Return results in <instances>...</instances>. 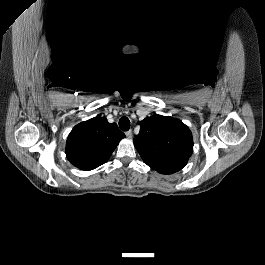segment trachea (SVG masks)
Listing matches in <instances>:
<instances>
[{
    "label": "trachea",
    "mask_w": 265,
    "mask_h": 265,
    "mask_svg": "<svg viewBox=\"0 0 265 265\" xmlns=\"http://www.w3.org/2000/svg\"><path fill=\"white\" fill-rule=\"evenodd\" d=\"M119 127L122 131H128L130 129V121L126 116L120 118Z\"/></svg>",
    "instance_id": "3493384b"
}]
</instances>
